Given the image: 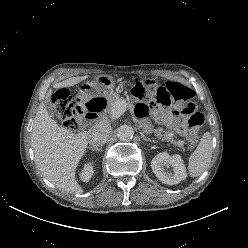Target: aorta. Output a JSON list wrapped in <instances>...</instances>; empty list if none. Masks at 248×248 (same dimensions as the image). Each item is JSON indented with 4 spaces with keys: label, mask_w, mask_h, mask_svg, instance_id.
Instances as JSON below:
<instances>
[{
    "label": "aorta",
    "mask_w": 248,
    "mask_h": 248,
    "mask_svg": "<svg viewBox=\"0 0 248 248\" xmlns=\"http://www.w3.org/2000/svg\"><path fill=\"white\" fill-rule=\"evenodd\" d=\"M134 130L128 124L121 125L117 130V136L121 141H130L133 138Z\"/></svg>",
    "instance_id": "aorta-1"
}]
</instances>
